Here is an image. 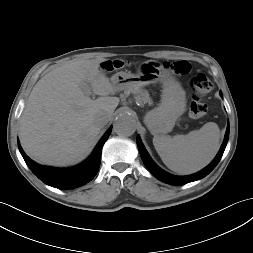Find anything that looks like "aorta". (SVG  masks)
Instances as JSON below:
<instances>
[{
    "mask_svg": "<svg viewBox=\"0 0 253 253\" xmlns=\"http://www.w3.org/2000/svg\"><path fill=\"white\" fill-rule=\"evenodd\" d=\"M113 128L120 136H131L136 130V120L130 113H120L115 119Z\"/></svg>",
    "mask_w": 253,
    "mask_h": 253,
    "instance_id": "762f6f07",
    "label": "aorta"
}]
</instances>
